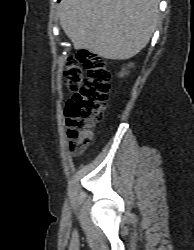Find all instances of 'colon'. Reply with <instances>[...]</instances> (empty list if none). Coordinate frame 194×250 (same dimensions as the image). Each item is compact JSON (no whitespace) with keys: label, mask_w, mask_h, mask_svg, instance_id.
Returning a JSON list of instances; mask_svg holds the SVG:
<instances>
[{"label":"colon","mask_w":194,"mask_h":250,"mask_svg":"<svg viewBox=\"0 0 194 250\" xmlns=\"http://www.w3.org/2000/svg\"><path fill=\"white\" fill-rule=\"evenodd\" d=\"M109 81L107 63L98 55L80 51L65 63L64 83L70 91L65 116L73 155L84 152L91 141L93 127L103 117Z\"/></svg>","instance_id":"obj_1"}]
</instances>
